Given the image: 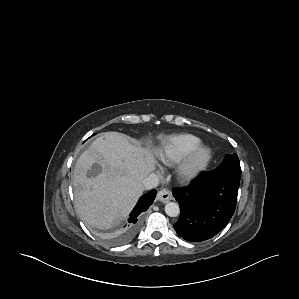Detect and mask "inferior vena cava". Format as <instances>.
Listing matches in <instances>:
<instances>
[{
  "label": "inferior vena cava",
  "instance_id": "1",
  "mask_svg": "<svg viewBox=\"0 0 299 299\" xmlns=\"http://www.w3.org/2000/svg\"><path fill=\"white\" fill-rule=\"evenodd\" d=\"M142 183L144 188L146 189L155 188L159 184V177L156 174L151 173L146 178L143 179Z\"/></svg>",
  "mask_w": 299,
  "mask_h": 299
}]
</instances>
